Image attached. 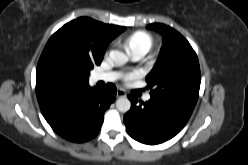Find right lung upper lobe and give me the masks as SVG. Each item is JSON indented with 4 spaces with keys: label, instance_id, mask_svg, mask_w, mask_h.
Masks as SVG:
<instances>
[{
    "label": "right lung upper lobe",
    "instance_id": "cb5924a9",
    "mask_svg": "<svg viewBox=\"0 0 248 165\" xmlns=\"http://www.w3.org/2000/svg\"><path fill=\"white\" fill-rule=\"evenodd\" d=\"M126 28L103 24L88 17L73 20L49 39L74 43L82 47L93 63L101 62L108 44ZM88 76L64 74L41 55L36 71V94L39 105L64 99L89 89Z\"/></svg>",
    "mask_w": 248,
    "mask_h": 165
}]
</instances>
